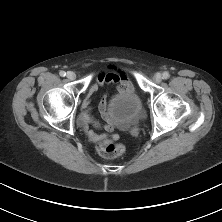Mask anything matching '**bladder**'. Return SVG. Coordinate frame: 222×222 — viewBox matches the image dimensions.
I'll list each match as a JSON object with an SVG mask.
<instances>
[{
    "label": "bladder",
    "instance_id": "bladder-1",
    "mask_svg": "<svg viewBox=\"0 0 222 222\" xmlns=\"http://www.w3.org/2000/svg\"><path fill=\"white\" fill-rule=\"evenodd\" d=\"M109 115L119 121L137 122L144 117L140 97L134 92L115 95L109 105Z\"/></svg>",
    "mask_w": 222,
    "mask_h": 222
}]
</instances>
